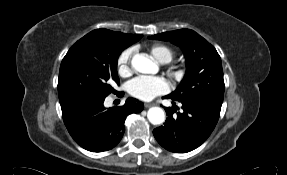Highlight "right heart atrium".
Masks as SVG:
<instances>
[{
	"label": "right heart atrium",
	"instance_id": "1",
	"mask_svg": "<svg viewBox=\"0 0 287 175\" xmlns=\"http://www.w3.org/2000/svg\"><path fill=\"white\" fill-rule=\"evenodd\" d=\"M133 53V48H127L118 55L116 67L120 76L128 77L132 73L131 58Z\"/></svg>",
	"mask_w": 287,
	"mask_h": 175
}]
</instances>
